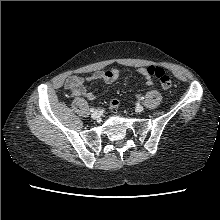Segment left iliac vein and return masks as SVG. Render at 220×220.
<instances>
[{"label": "left iliac vein", "instance_id": "left-iliac-vein-1", "mask_svg": "<svg viewBox=\"0 0 220 220\" xmlns=\"http://www.w3.org/2000/svg\"><path fill=\"white\" fill-rule=\"evenodd\" d=\"M143 110H144V107H143L142 105H137V106H136V111H137V112L140 113V112H142Z\"/></svg>", "mask_w": 220, "mask_h": 220}]
</instances>
